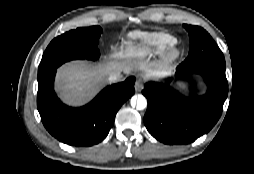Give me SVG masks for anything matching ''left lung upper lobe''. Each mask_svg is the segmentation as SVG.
Here are the masks:
<instances>
[{
	"label": "left lung upper lobe",
	"mask_w": 254,
	"mask_h": 174,
	"mask_svg": "<svg viewBox=\"0 0 254 174\" xmlns=\"http://www.w3.org/2000/svg\"><path fill=\"white\" fill-rule=\"evenodd\" d=\"M183 26L190 37V51L184 64L215 63L225 66L223 53L208 32L199 26L186 24Z\"/></svg>",
	"instance_id": "5c2ea615"
}]
</instances>
